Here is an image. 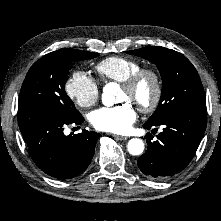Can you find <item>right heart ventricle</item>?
<instances>
[{"instance_id":"right-heart-ventricle-1","label":"right heart ventricle","mask_w":221,"mask_h":221,"mask_svg":"<svg viewBox=\"0 0 221 221\" xmlns=\"http://www.w3.org/2000/svg\"><path fill=\"white\" fill-rule=\"evenodd\" d=\"M142 68V64L132 58L112 56L99 61L94 69L104 81L122 83L129 76Z\"/></svg>"}]
</instances>
